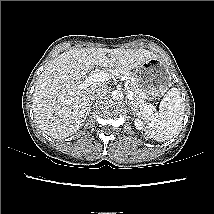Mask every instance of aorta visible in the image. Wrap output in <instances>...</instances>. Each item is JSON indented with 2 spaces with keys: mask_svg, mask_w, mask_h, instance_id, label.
<instances>
[{
  "mask_svg": "<svg viewBox=\"0 0 214 214\" xmlns=\"http://www.w3.org/2000/svg\"><path fill=\"white\" fill-rule=\"evenodd\" d=\"M113 100L120 101L123 99V93L119 90H115L112 92Z\"/></svg>",
  "mask_w": 214,
  "mask_h": 214,
  "instance_id": "762f6f07",
  "label": "aorta"
}]
</instances>
